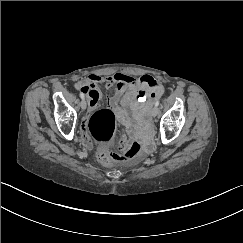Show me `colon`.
<instances>
[{
	"instance_id": "5ec220e1",
	"label": "colon",
	"mask_w": 243,
	"mask_h": 243,
	"mask_svg": "<svg viewBox=\"0 0 243 243\" xmlns=\"http://www.w3.org/2000/svg\"><path fill=\"white\" fill-rule=\"evenodd\" d=\"M116 115L110 109L96 111L88 121V130L95 140L103 147L108 145L115 135ZM142 150L138 141H132L127 148L119 151L103 150L98 157L101 162L107 163L110 159L117 161H129L137 158Z\"/></svg>"
}]
</instances>
